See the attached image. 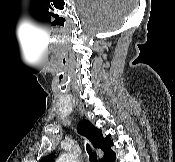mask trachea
I'll return each mask as SVG.
<instances>
[{
	"label": "trachea",
	"instance_id": "1",
	"mask_svg": "<svg viewBox=\"0 0 175 162\" xmlns=\"http://www.w3.org/2000/svg\"><path fill=\"white\" fill-rule=\"evenodd\" d=\"M86 150L89 155V161L90 162H98L97 155L93 152L91 146L87 143Z\"/></svg>",
	"mask_w": 175,
	"mask_h": 162
}]
</instances>
